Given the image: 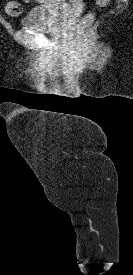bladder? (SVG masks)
Returning a JSON list of instances; mask_svg holds the SVG:
<instances>
[{
    "label": "bladder",
    "instance_id": "31cf9c89",
    "mask_svg": "<svg viewBox=\"0 0 133 275\" xmlns=\"http://www.w3.org/2000/svg\"><path fill=\"white\" fill-rule=\"evenodd\" d=\"M64 2L65 0H50L46 5L33 7L21 20V25L26 29L40 32L56 31L63 18Z\"/></svg>",
    "mask_w": 133,
    "mask_h": 275
}]
</instances>
